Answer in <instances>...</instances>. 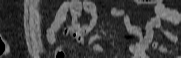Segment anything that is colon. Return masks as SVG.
Instances as JSON below:
<instances>
[{"label": "colon", "instance_id": "obj_1", "mask_svg": "<svg viewBox=\"0 0 181 58\" xmlns=\"http://www.w3.org/2000/svg\"><path fill=\"white\" fill-rule=\"evenodd\" d=\"M56 58H64V53H60V54L56 55Z\"/></svg>", "mask_w": 181, "mask_h": 58}]
</instances>
